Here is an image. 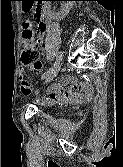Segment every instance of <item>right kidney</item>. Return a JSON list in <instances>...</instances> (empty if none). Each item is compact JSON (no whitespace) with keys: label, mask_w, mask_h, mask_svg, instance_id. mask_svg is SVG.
Returning a JSON list of instances; mask_svg holds the SVG:
<instances>
[{"label":"right kidney","mask_w":123,"mask_h":167,"mask_svg":"<svg viewBox=\"0 0 123 167\" xmlns=\"http://www.w3.org/2000/svg\"><path fill=\"white\" fill-rule=\"evenodd\" d=\"M71 7H72V2H67V4H64V6L62 7V11L58 15V18L59 19L65 18L66 15L69 13Z\"/></svg>","instance_id":"right-kidney-1"}]
</instances>
